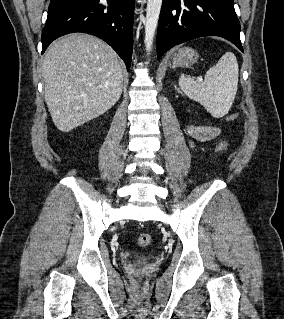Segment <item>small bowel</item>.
Segmentation results:
<instances>
[{
	"mask_svg": "<svg viewBox=\"0 0 284 319\" xmlns=\"http://www.w3.org/2000/svg\"><path fill=\"white\" fill-rule=\"evenodd\" d=\"M187 133L191 139V144L196 142H207L215 139L221 133L217 127L210 125H190L187 127Z\"/></svg>",
	"mask_w": 284,
	"mask_h": 319,
	"instance_id": "1",
	"label": "small bowel"
}]
</instances>
